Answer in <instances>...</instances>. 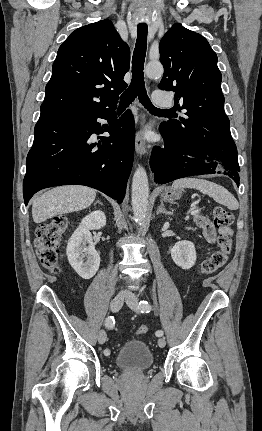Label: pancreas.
Returning <instances> with one entry per match:
<instances>
[{
	"instance_id": "1",
	"label": "pancreas",
	"mask_w": 262,
	"mask_h": 431,
	"mask_svg": "<svg viewBox=\"0 0 262 431\" xmlns=\"http://www.w3.org/2000/svg\"><path fill=\"white\" fill-rule=\"evenodd\" d=\"M197 218H198V215H195L194 216V222H196V223H197Z\"/></svg>"
}]
</instances>
